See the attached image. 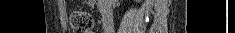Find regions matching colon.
I'll return each mask as SVG.
<instances>
[{"instance_id": "obj_1", "label": "colon", "mask_w": 235, "mask_h": 33, "mask_svg": "<svg viewBox=\"0 0 235 33\" xmlns=\"http://www.w3.org/2000/svg\"><path fill=\"white\" fill-rule=\"evenodd\" d=\"M69 21L73 33H89L93 26L91 15L85 11H73L70 14Z\"/></svg>"}]
</instances>
